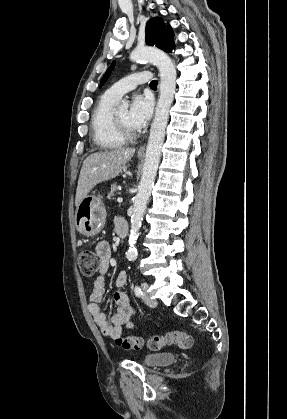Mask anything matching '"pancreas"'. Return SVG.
<instances>
[{"label": "pancreas", "mask_w": 287, "mask_h": 419, "mask_svg": "<svg viewBox=\"0 0 287 419\" xmlns=\"http://www.w3.org/2000/svg\"><path fill=\"white\" fill-rule=\"evenodd\" d=\"M117 191H118V185H117V183L112 184V185H111V190H110V192L108 193V198L113 197V196H114V194H115Z\"/></svg>", "instance_id": "obj_1"}]
</instances>
